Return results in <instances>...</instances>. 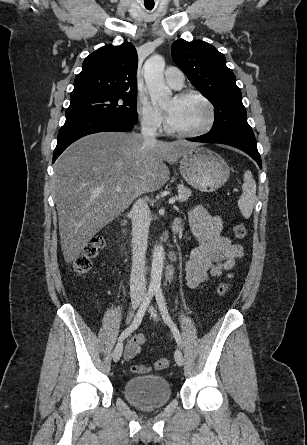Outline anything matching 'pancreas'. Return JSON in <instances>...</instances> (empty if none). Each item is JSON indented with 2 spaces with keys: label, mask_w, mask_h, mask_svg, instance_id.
<instances>
[{
  "label": "pancreas",
  "mask_w": 307,
  "mask_h": 445,
  "mask_svg": "<svg viewBox=\"0 0 307 445\" xmlns=\"http://www.w3.org/2000/svg\"><path fill=\"white\" fill-rule=\"evenodd\" d=\"M177 192L181 194L180 198H177L179 202H184V200H189V196H191L190 188L184 186V184H177Z\"/></svg>",
  "instance_id": "cf45deb5"
}]
</instances>
